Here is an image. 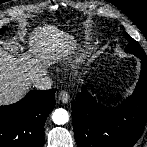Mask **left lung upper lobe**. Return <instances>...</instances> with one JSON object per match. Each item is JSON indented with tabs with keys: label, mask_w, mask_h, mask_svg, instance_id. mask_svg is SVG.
Wrapping results in <instances>:
<instances>
[{
	"label": "left lung upper lobe",
	"mask_w": 147,
	"mask_h": 147,
	"mask_svg": "<svg viewBox=\"0 0 147 147\" xmlns=\"http://www.w3.org/2000/svg\"><path fill=\"white\" fill-rule=\"evenodd\" d=\"M127 40L129 41V44L126 47V52L134 54L138 57L146 56L145 52L143 51L142 47L139 45L137 41H135L129 36H127Z\"/></svg>",
	"instance_id": "left-lung-upper-lobe-1"
}]
</instances>
